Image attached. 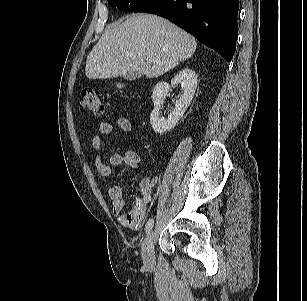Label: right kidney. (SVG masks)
<instances>
[{"label":"right kidney","mask_w":307,"mask_h":301,"mask_svg":"<svg viewBox=\"0 0 307 301\" xmlns=\"http://www.w3.org/2000/svg\"><path fill=\"white\" fill-rule=\"evenodd\" d=\"M181 84L183 93L175 103L174 110L169 114L168 118H160L159 110L163 104V98L167 95L170 89V85L166 82L158 83L153 90L152 99L154 103V109L150 115V123L153 130L156 133L163 134L170 131L178 121L183 117L186 109L190 105L195 90L198 84L197 75L195 71L189 68H185L180 71L171 81V85L175 86Z\"/></svg>","instance_id":"right-kidney-1"}]
</instances>
